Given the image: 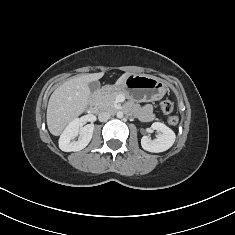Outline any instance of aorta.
Instances as JSON below:
<instances>
[{"label":"aorta","instance_id":"1","mask_svg":"<svg viewBox=\"0 0 235 235\" xmlns=\"http://www.w3.org/2000/svg\"><path fill=\"white\" fill-rule=\"evenodd\" d=\"M117 117L118 118H122L123 117V112L122 111H118L117 112Z\"/></svg>","mask_w":235,"mask_h":235}]
</instances>
